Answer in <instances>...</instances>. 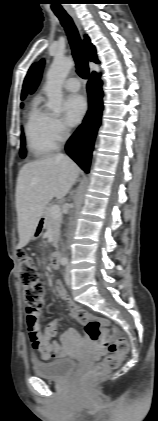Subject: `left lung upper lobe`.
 <instances>
[{"instance_id": "left-lung-upper-lobe-1", "label": "left lung upper lobe", "mask_w": 158, "mask_h": 421, "mask_svg": "<svg viewBox=\"0 0 158 421\" xmlns=\"http://www.w3.org/2000/svg\"><path fill=\"white\" fill-rule=\"evenodd\" d=\"M43 65H44V60H42L39 63V68H38L37 74L35 76L34 82L32 84L30 93H33L35 91V89L37 88V86H38V84L40 82Z\"/></svg>"}]
</instances>
